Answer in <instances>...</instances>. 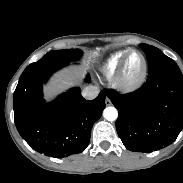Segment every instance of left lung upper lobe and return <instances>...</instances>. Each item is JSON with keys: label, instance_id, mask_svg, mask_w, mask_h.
<instances>
[{"label": "left lung upper lobe", "instance_id": "1", "mask_svg": "<svg viewBox=\"0 0 183 183\" xmlns=\"http://www.w3.org/2000/svg\"><path fill=\"white\" fill-rule=\"evenodd\" d=\"M139 46L147 56L149 74L177 65L174 60L166 56L160 49L148 44H140Z\"/></svg>", "mask_w": 183, "mask_h": 183}]
</instances>
